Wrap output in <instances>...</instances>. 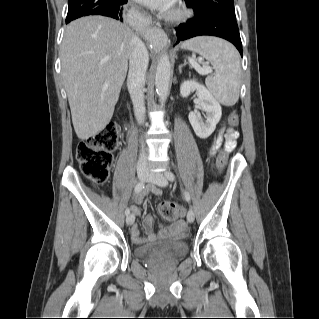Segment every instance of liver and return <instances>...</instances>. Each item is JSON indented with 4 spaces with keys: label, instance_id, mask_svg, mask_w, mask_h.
Returning <instances> with one entry per match:
<instances>
[{
    "label": "liver",
    "instance_id": "obj_1",
    "mask_svg": "<svg viewBox=\"0 0 319 319\" xmlns=\"http://www.w3.org/2000/svg\"><path fill=\"white\" fill-rule=\"evenodd\" d=\"M132 37L128 26L99 15L65 28L61 72L79 139L97 135L110 122L126 77Z\"/></svg>",
    "mask_w": 319,
    "mask_h": 319
}]
</instances>
